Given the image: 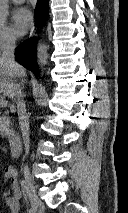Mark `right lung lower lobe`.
<instances>
[{"label": "right lung lower lobe", "instance_id": "obj_1", "mask_svg": "<svg viewBox=\"0 0 128 213\" xmlns=\"http://www.w3.org/2000/svg\"><path fill=\"white\" fill-rule=\"evenodd\" d=\"M48 0H38L37 8L35 9V18L39 20L37 26H42L44 20L48 16ZM35 41L34 39L27 40L25 43L20 44L15 50V57L19 63L24 65L27 69L31 70L35 75H39L38 65L35 56Z\"/></svg>", "mask_w": 128, "mask_h": 213}]
</instances>
